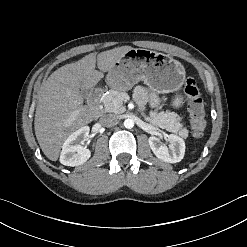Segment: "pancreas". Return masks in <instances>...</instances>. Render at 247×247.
Returning <instances> with one entry per match:
<instances>
[{"label": "pancreas", "mask_w": 247, "mask_h": 247, "mask_svg": "<svg viewBox=\"0 0 247 247\" xmlns=\"http://www.w3.org/2000/svg\"><path fill=\"white\" fill-rule=\"evenodd\" d=\"M128 95L120 90H109L102 97V103L108 112L121 113L124 111L123 102L126 101ZM151 124L166 129L169 132L178 134L183 138L188 137V130L180 122L181 118L174 112L169 111H151L149 116L145 117Z\"/></svg>", "instance_id": "cf45deb5"}]
</instances>
